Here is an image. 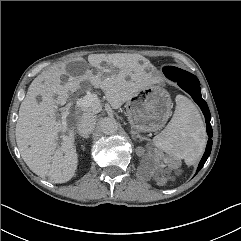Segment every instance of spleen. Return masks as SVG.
I'll return each instance as SVG.
<instances>
[{
  "instance_id": "1",
  "label": "spleen",
  "mask_w": 241,
  "mask_h": 241,
  "mask_svg": "<svg viewBox=\"0 0 241 241\" xmlns=\"http://www.w3.org/2000/svg\"><path fill=\"white\" fill-rule=\"evenodd\" d=\"M176 108L172 119L160 134L154 137V145L169 156L187 165L195 164L201 157L206 132L195 104L183 95L176 96Z\"/></svg>"
}]
</instances>
